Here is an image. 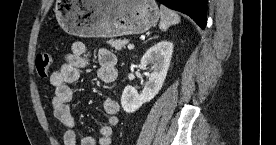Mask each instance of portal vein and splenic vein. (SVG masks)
<instances>
[{
  "instance_id": "portal-vein-and-splenic-vein-1",
  "label": "portal vein and splenic vein",
  "mask_w": 276,
  "mask_h": 145,
  "mask_svg": "<svg viewBox=\"0 0 276 145\" xmlns=\"http://www.w3.org/2000/svg\"><path fill=\"white\" fill-rule=\"evenodd\" d=\"M127 47H128L129 50H133L134 49V45L133 44H128Z\"/></svg>"
}]
</instances>
